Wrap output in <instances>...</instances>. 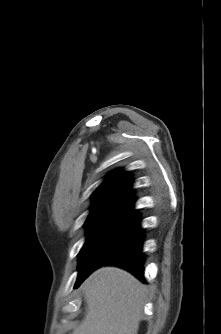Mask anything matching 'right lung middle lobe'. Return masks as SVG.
Here are the masks:
<instances>
[{
  "label": "right lung middle lobe",
  "mask_w": 221,
  "mask_h": 334,
  "mask_svg": "<svg viewBox=\"0 0 221 334\" xmlns=\"http://www.w3.org/2000/svg\"><path fill=\"white\" fill-rule=\"evenodd\" d=\"M87 239L79 253L81 283L93 270L106 264L139 233L140 219L135 216H99L87 219Z\"/></svg>",
  "instance_id": "1"
}]
</instances>
